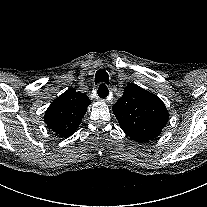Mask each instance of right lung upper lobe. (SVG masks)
<instances>
[{"label": "right lung upper lobe", "instance_id": "obj_1", "mask_svg": "<svg viewBox=\"0 0 207 207\" xmlns=\"http://www.w3.org/2000/svg\"><path fill=\"white\" fill-rule=\"evenodd\" d=\"M90 103L86 94L68 89L50 104L44 121L53 132L66 138L78 128Z\"/></svg>", "mask_w": 207, "mask_h": 207}]
</instances>
